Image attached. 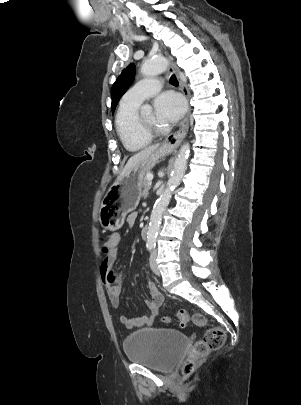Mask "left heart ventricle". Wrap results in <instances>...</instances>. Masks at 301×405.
Wrapping results in <instances>:
<instances>
[{"mask_svg":"<svg viewBox=\"0 0 301 405\" xmlns=\"http://www.w3.org/2000/svg\"><path fill=\"white\" fill-rule=\"evenodd\" d=\"M141 119L143 121L144 124L148 125V126H159V122L156 119V116L153 112L148 111L145 113L141 114Z\"/></svg>","mask_w":301,"mask_h":405,"instance_id":"1","label":"left heart ventricle"}]
</instances>
